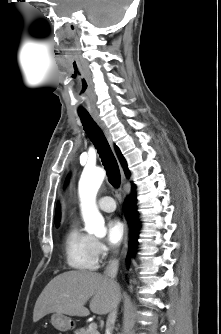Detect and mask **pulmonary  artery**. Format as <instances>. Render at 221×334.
Wrapping results in <instances>:
<instances>
[{"label":"pulmonary artery","mask_w":221,"mask_h":334,"mask_svg":"<svg viewBox=\"0 0 221 334\" xmlns=\"http://www.w3.org/2000/svg\"><path fill=\"white\" fill-rule=\"evenodd\" d=\"M98 207L105 212H112L116 209V203L113 197L103 196L98 201Z\"/></svg>","instance_id":"e3ab8cb5"}]
</instances>
